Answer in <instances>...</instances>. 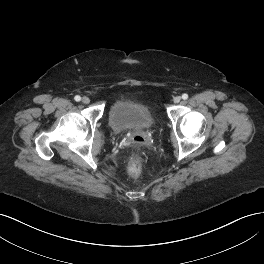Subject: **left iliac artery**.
<instances>
[{"label":"left iliac artery","instance_id":"obj_1","mask_svg":"<svg viewBox=\"0 0 264 264\" xmlns=\"http://www.w3.org/2000/svg\"><path fill=\"white\" fill-rule=\"evenodd\" d=\"M182 98H183L184 100H186V99L188 98V94L184 93V94L182 95Z\"/></svg>","mask_w":264,"mask_h":264}]
</instances>
